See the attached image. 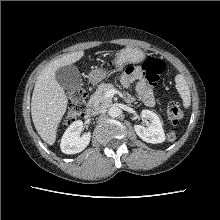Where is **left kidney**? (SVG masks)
<instances>
[{
	"instance_id": "obj_1",
	"label": "left kidney",
	"mask_w": 220,
	"mask_h": 220,
	"mask_svg": "<svg viewBox=\"0 0 220 220\" xmlns=\"http://www.w3.org/2000/svg\"><path fill=\"white\" fill-rule=\"evenodd\" d=\"M142 116L150 122L147 127L134 125L136 134L147 143L157 144L164 142L166 139L165 133L158 115L150 110H142Z\"/></svg>"
}]
</instances>
